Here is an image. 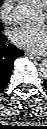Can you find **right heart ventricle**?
<instances>
[{
    "instance_id": "e07e8e85",
    "label": "right heart ventricle",
    "mask_w": 47,
    "mask_h": 129,
    "mask_svg": "<svg viewBox=\"0 0 47 129\" xmlns=\"http://www.w3.org/2000/svg\"><path fill=\"white\" fill-rule=\"evenodd\" d=\"M34 1H40L41 3H45L46 0H34Z\"/></svg>"
}]
</instances>
